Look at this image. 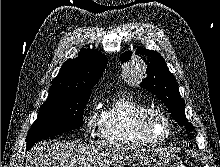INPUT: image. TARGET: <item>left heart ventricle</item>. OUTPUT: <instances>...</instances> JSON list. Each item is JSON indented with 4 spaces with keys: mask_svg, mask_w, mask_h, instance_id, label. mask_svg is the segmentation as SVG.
Instances as JSON below:
<instances>
[{
    "mask_svg": "<svg viewBox=\"0 0 220 167\" xmlns=\"http://www.w3.org/2000/svg\"><path fill=\"white\" fill-rule=\"evenodd\" d=\"M148 129L150 134L155 138L163 137L168 132L166 122L159 116H152L148 121Z\"/></svg>",
    "mask_w": 220,
    "mask_h": 167,
    "instance_id": "1",
    "label": "left heart ventricle"
}]
</instances>
